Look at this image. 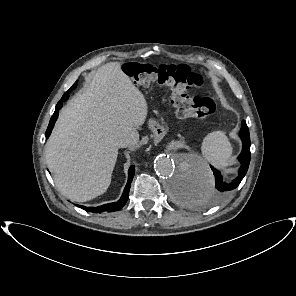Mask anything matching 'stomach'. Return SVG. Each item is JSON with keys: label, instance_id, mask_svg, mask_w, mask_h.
Returning a JSON list of instances; mask_svg holds the SVG:
<instances>
[{"label": "stomach", "instance_id": "stomach-1", "mask_svg": "<svg viewBox=\"0 0 296 296\" xmlns=\"http://www.w3.org/2000/svg\"><path fill=\"white\" fill-rule=\"evenodd\" d=\"M149 126L152 130V142L154 145L159 146L162 144L163 140L167 137V130L163 126H159V124L151 120L149 122Z\"/></svg>", "mask_w": 296, "mask_h": 296}]
</instances>
